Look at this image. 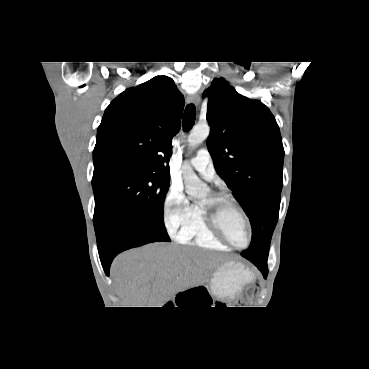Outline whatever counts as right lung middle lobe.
Segmentation results:
<instances>
[{
	"label": "right lung middle lobe",
	"mask_w": 369,
	"mask_h": 369,
	"mask_svg": "<svg viewBox=\"0 0 369 369\" xmlns=\"http://www.w3.org/2000/svg\"><path fill=\"white\" fill-rule=\"evenodd\" d=\"M169 180L168 175L133 166H95L92 187L96 235L113 220L128 218L157 241H170L163 218Z\"/></svg>",
	"instance_id": "right-lung-middle-lobe-1"
}]
</instances>
